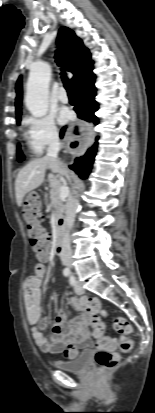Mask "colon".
<instances>
[{"label": "colon", "mask_w": 155, "mask_h": 413, "mask_svg": "<svg viewBox=\"0 0 155 413\" xmlns=\"http://www.w3.org/2000/svg\"><path fill=\"white\" fill-rule=\"evenodd\" d=\"M42 200L41 192H28L24 199L23 218L28 227L31 246L39 259H44L49 253L50 241L49 236L43 227L42 208L39 205ZM87 308L90 313L97 319L106 315L105 308L97 298H89ZM98 347L95 354V362L102 371L114 369L119 361L120 355L112 351V341L104 336V333L97 327ZM115 330L122 335L118 341V347L122 352H129L132 349V340L129 334L132 332L130 323L123 317H117L114 320Z\"/></svg>", "instance_id": "1"}]
</instances>
